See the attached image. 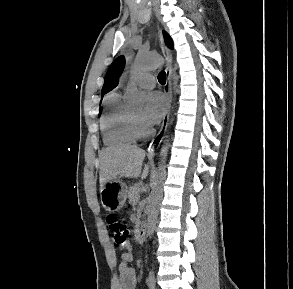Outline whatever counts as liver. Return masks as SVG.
<instances>
[{"mask_svg": "<svg viewBox=\"0 0 293 289\" xmlns=\"http://www.w3.org/2000/svg\"><path fill=\"white\" fill-rule=\"evenodd\" d=\"M144 158L145 151L137 146L125 144L107 147L100 156V186L113 181L118 176L125 178L141 176L145 179L149 173V166L145 165L141 173Z\"/></svg>", "mask_w": 293, "mask_h": 289, "instance_id": "liver-1", "label": "liver"}]
</instances>
